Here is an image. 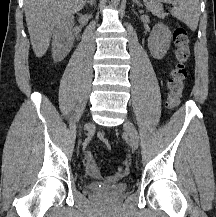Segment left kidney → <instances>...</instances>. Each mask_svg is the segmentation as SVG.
Masks as SVG:
<instances>
[{"instance_id": "left-kidney-1", "label": "left kidney", "mask_w": 216, "mask_h": 217, "mask_svg": "<svg viewBox=\"0 0 216 217\" xmlns=\"http://www.w3.org/2000/svg\"><path fill=\"white\" fill-rule=\"evenodd\" d=\"M171 31L162 23L154 26L149 38L148 47L155 59H162L170 47Z\"/></svg>"}]
</instances>
